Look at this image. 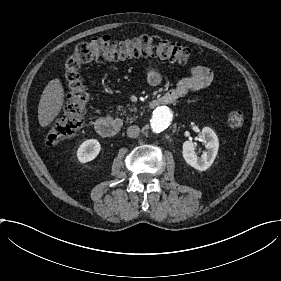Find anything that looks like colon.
Returning a JSON list of instances; mask_svg holds the SVG:
<instances>
[{"mask_svg": "<svg viewBox=\"0 0 281 281\" xmlns=\"http://www.w3.org/2000/svg\"><path fill=\"white\" fill-rule=\"evenodd\" d=\"M139 55H154L172 61L197 63L196 57L185 47L155 37L138 36L134 41L124 39L120 45L105 39L80 45L65 62L64 78L68 94L63 107L43 135L44 146L52 147L62 140L73 137L85 125L89 96L79 74L82 66L111 58ZM225 119L233 127H241L244 124V116L238 110H228Z\"/></svg>", "mask_w": 281, "mask_h": 281, "instance_id": "obj_1", "label": "colon"}]
</instances>
